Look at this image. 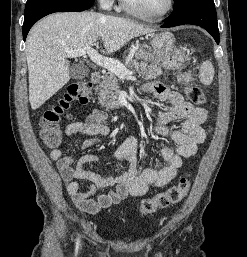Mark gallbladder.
Returning <instances> with one entry per match:
<instances>
[{
	"label": "gallbladder",
	"instance_id": "1",
	"mask_svg": "<svg viewBox=\"0 0 247 257\" xmlns=\"http://www.w3.org/2000/svg\"><path fill=\"white\" fill-rule=\"evenodd\" d=\"M89 72V68L84 64H73L69 68L70 77L75 80L84 79Z\"/></svg>",
	"mask_w": 247,
	"mask_h": 257
}]
</instances>
